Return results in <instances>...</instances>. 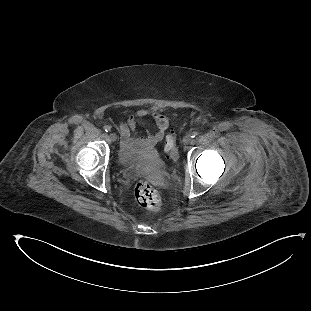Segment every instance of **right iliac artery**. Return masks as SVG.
<instances>
[{"label": "right iliac artery", "mask_w": 311, "mask_h": 311, "mask_svg": "<svg viewBox=\"0 0 311 311\" xmlns=\"http://www.w3.org/2000/svg\"><path fill=\"white\" fill-rule=\"evenodd\" d=\"M104 130H105L106 132H109V131L111 130V127L108 126V125H105V126H104Z\"/></svg>", "instance_id": "obj_1"}]
</instances>
